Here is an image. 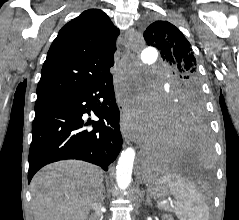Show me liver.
Masks as SVG:
<instances>
[{"instance_id":"obj_1","label":"liver","mask_w":239,"mask_h":220,"mask_svg":"<svg viewBox=\"0 0 239 220\" xmlns=\"http://www.w3.org/2000/svg\"><path fill=\"white\" fill-rule=\"evenodd\" d=\"M103 171L77 160L49 164L31 182L34 220H87Z\"/></svg>"}]
</instances>
